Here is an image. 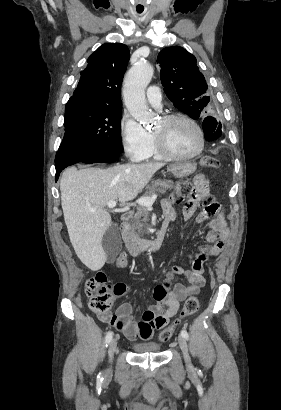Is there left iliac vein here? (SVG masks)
Listing matches in <instances>:
<instances>
[{
	"label": "left iliac vein",
	"instance_id": "left-iliac-vein-1",
	"mask_svg": "<svg viewBox=\"0 0 281 410\" xmlns=\"http://www.w3.org/2000/svg\"><path fill=\"white\" fill-rule=\"evenodd\" d=\"M178 344H179V347H180V349L183 353L184 360H185L187 368L192 369V364H191L190 356H189V353H188V346H187V343L185 341V338L181 335L178 336Z\"/></svg>",
	"mask_w": 281,
	"mask_h": 410
}]
</instances>
